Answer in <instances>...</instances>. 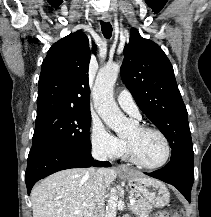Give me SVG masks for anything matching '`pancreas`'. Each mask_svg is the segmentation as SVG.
Returning <instances> with one entry per match:
<instances>
[{"label":"pancreas","mask_w":211,"mask_h":217,"mask_svg":"<svg viewBox=\"0 0 211 217\" xmlns=\"http://www.w3.org/2000/svg\"><path fill=\"white\" fill-rule=\"evenodd\" d=\"M130 209L138 217H148L152 210V205L147 200L139 198L135 200L134 204L130 205Z\"/></svg>","instance_id":"1"}]
</instances>
